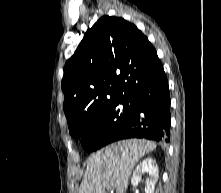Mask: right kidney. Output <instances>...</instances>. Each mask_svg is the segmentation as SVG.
Wrapping results in <instances>:
<instances>
[{
	"mask_svg": "<svg viewBox=\"0 0 221 193\" xmlns=\"http://www.w3.org/2000/svg\"><path fill=\"white\" fill-rule=\"evenodd\" d=\"M147 172L149 178L146 180L145 193H154L155 184L159 177V169L155 160L152 158L144 159L133 172L131 183L136 186L141 181V174Z\"/></svg>",
	"mask_w": 221,
	"mask_h": 193,
	"instance_id": "1",
	"label": "right kidney"
}]
</instances>
